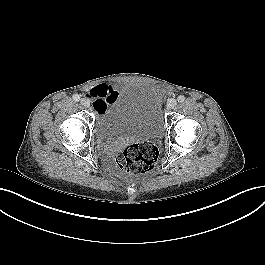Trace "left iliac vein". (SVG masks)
Instances as JSON below:
<instances>
[{"mask_svg":"<svg viewBox=\"0 0 265 265\" xmlns=\"http://www.w3.org/2000/svg\"><path fill=\"white\" fill-rule=\"evenodd\" d=\"M177 105V101L174 98H171L168 102H167V108L168 109H173L175 106Z\"/></svg>","mask_w":265,"mask_h":265,"instance_id":"left-iliac-vein-1","label":"left iliac vein"}]
</instances>
